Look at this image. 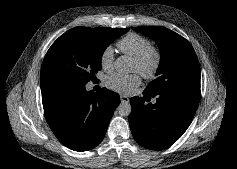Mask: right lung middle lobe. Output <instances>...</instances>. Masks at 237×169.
<instances>
[{"mask_svg":"<svg viewBox=\"0 0 237 169\" xmlns=\"http://www.w3.org/2000/svg\"><path fill=\"white\" fill-rule=\"evenodd\" d=\"M128 28L76 27L61 35L48 50L40 83L85 85L101 69L105 49Z\"/></svg>","mask_w":237,"mask_h":169,"instance_id":"1","label":"right lung middle lobe"}]
</instances>
